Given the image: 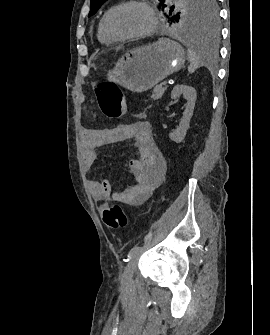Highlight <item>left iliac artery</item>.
Returning <instances> with one entry per match:
<instances>
[{"mask_svg":"<svg viewBox=\"0 0 270 335\" xmlns=\"http://www.w3.org/2000/svg\"><path fill=\"white\" fill-rule=\"evenodd\" d=\"M143 250V247L141 246H135L134 248H132L129 253H128V261L135 256L136 254L140 253Z\"/></svg>","mask_w":270,"mask_h":335,"instance_id":"left-iliac-artery-1","label":"left iliac artery"}]
</instances>
